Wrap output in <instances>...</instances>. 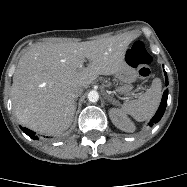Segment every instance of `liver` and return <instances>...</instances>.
<instances>
[{"mask_svg": "<svg viewBox=\"0 0 187 187\" xmlns=\"http://www.w3.org/2000/svg\"><path fill=\"white\" fill-rule=\"evenodd\" d=\"M133 36L94 41L36 44L26 51L13 76L12 103L19 121L46 135L68 129L75 112L73 89L87 88L99 75H114L125 65ZM87 67H83L85 60Z\"/></svg>", "mask_w": 187, "mask_h": 187, "instance_id": "6515ba94", "label": "liver"}]
</instances>
